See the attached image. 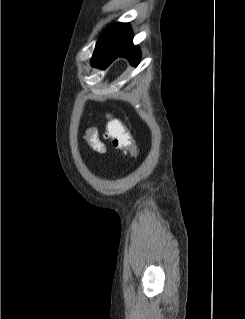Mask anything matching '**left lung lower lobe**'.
I'll return each mask as SVG.
<instances>
[{
  "mask_svg": "<svg viewBox=\"0 0 245 319\" xmlns=\"http://www.w3.org/2000/svg\"><path fill=\"white\" fill-rule=\"evenodd\" d=\"M132 37L131 27L128 25L117 44L112 49L102 50L100 52L95 49L92 63L104 68L117 57H125L132 65L137 66L140 61L141 53L139 48L133 45Z\"/></svg>",
  "mask_w": 245,
  "mask_h": 319,
  "instance_id": "obj_1",
  "label": "left lung lower lobe"
}]
</instances>
